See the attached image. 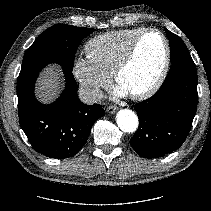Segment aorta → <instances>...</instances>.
<instances>
[{
  "mask_svg": "<svg viewBox=\"0 0 211 211\" xmlns=\"http://www.w3.org/2000/svg\"><path fill=\"white\" fill-rule=\"evenodd\" d=\"M116 121L123 132L132 133L138 127L137 115L129 109H122L117 113Z\"/></svg>",
  "mask_w": 211,
  "mask_h": 211,
  "instance_id": "1",
  "label": "aorta"
}]
</instances>
